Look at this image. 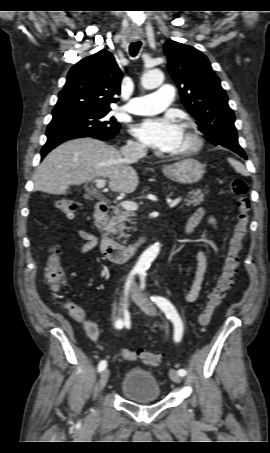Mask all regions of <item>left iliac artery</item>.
<instances>
[{
    "label": "left iliac artery",
    "instance_id": "44dca946",
    "mask_svg": "<svg viewBox=\"0 0 270 453\" xmlns=\"http://www.w3.org/2000/svg\"><path fill=\"white\" fill-rule=\"evenodd\" d=\"M141 277V288L143 289L145 287V274L140 273ZM151 300L165 313L168 319H170L175 326V333H174V340L176 342H179L182 338L183 334V323L182 320L177 313L175 307L173 304L167 300L164 297L161 296H151ZM178 374L180 376H185L186 375V370L185 369H179Z\"/></svg>",
    "mask_w": 270,
    "mask_h": 453
}]
</instances>
